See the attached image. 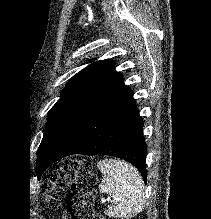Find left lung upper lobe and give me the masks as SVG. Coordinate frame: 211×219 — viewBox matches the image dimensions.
I'll return each mask as SVG.
<instances>
[{
	"instance_id": "obj_1",
	"label": "left lung upper lobe",
	"mask_w": 211,
	"mask_h": 219,
	"mask_svg": "<svg viewBox=\"0 0 211 219\" xmlns=\"http://www.w3.org/2000/svg\"><path fill=\"white\" fill-rule=\"evenodd\" d=\"M121 77L122 74L115 71L114 62L111 60L91 63L73 76L48 114L38 153H43L49 159L75 123ZM37 176H40L39 162Z\"/></svg>"
}]
</instances>
